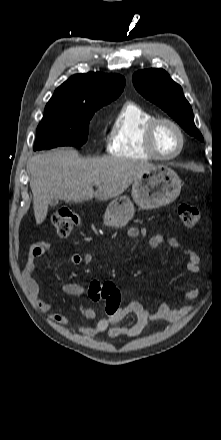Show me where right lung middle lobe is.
<instances>
[{
  "label": "right lung middle lobe",
  "instance_id": "1",
  "mask_svg": "<svg viewBox=\"0 0 221 440\" xmlns=\"http://www.w3.org/2000/svg\"><path fill=\"white\" fill-rule=\"evenodd\" d=\"M102 106L48 104L37 127L33 150L58 146H82L88 138L89 121Z\"/></svg>",
  "mask_w": 221,
  "mask_h": 440
}]
</instances>
